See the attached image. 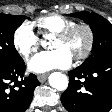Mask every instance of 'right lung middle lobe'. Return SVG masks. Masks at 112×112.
<instances>
[{"mask_svg":"<svg viewBox=\"0 0 112 112\" xmlns=\"http://www.w3.org/2000/svg\"><path fill=\"white\" fill-rule=\"evenodd\" d=\"M28 17L0 13V68L20 59L14 47V32Z\"/></svg>","mask_w":112,"mask_h":112,"instance_id":"right-lung-middle-lobe-1","label":"right lung middle lobe"}]
</instances>
